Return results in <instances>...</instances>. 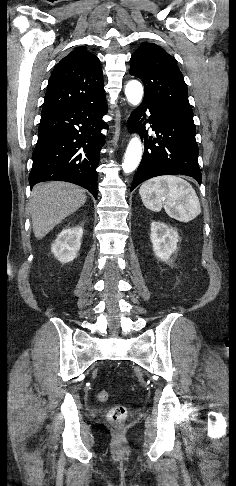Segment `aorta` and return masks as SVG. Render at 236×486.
I'll use <instances>...</instances> for the list:
<instances>
[{
	"mask_svg": "<svg viewBox=\"0 0 236 486\" xmlns=\"http://www.w3.org/2000/svg\"><path fill=\"white\" fill-rule=\"evenodd\" d=\"M125 95L129 103L138 105L143 96V87L136 80L129 81L125 87ZM142 156V144L139 137H133L128 146L122 163L124 173H132L138 166Z\"/></svg>",
	"mask_w": 236,
	"mask_h": 486,
	"instance_id": "1",
	"label": "aorta"
}]
</instances>
